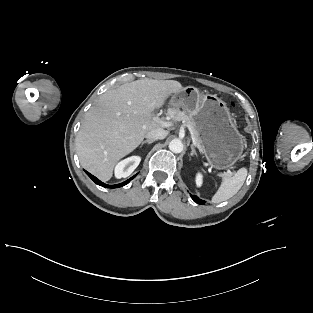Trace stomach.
I'll use <instances>...</instances> for the list:
<instances>
[{
  "label": "stomach",
  "instance_id": "1",
  "mask_svg": "<svg viewBox=\"0 0 313 313\" xmlns=\"http://www.w3.org/2000/svg\"><path fill=\"white\" fill-rule=\"evenodd\" d=\"M180 108L193 118L209 164L217 170L231 167L243 153L245 144L226 103L215 95L187 86L173 93L169 101V114Z\"/></svg>",
  "mask_w": 313,
  "mask_h": 313
}]
</instances>
